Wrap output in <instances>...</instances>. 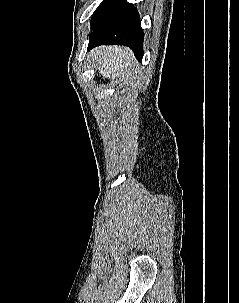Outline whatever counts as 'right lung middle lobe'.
Segmentation results:
<instances>
[{
    "mask_svg": "<svg viewBox=\"0 0 239 303\" xmlns=\"http://www.w3.org/2000/svg\"><path fill=\"white\" fill-rule=\"evenodd\" d=\"M109 1L110 0H103V2L99 5V7L94 12V15H93V17L91 19V23L95 19V17L99 14V12L104 9V7L108 4Z\"/></svg>",
    "mask_w": 239,
    "mask_h": 303,
    "instance_id": "1",
    "label": "right lung middle lobe"
}]
</instances>
